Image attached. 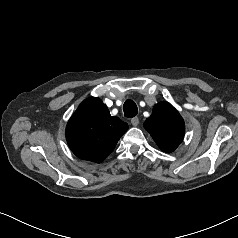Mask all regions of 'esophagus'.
Here are the masks:
<instances>
[{"instance_id":"1","label":"esophagus","mask_w":238,"mask_h":238,"mask_svg":"<svg viewBox=\"0 0 238 238\" xmlns=\"http://www.w3.org/2000/svg\"><path fill=\"white\" fill-rule=\"evenodd\" d=\"M131 124L136 127V126L139 124V119H138V117L132 118V119H131Z\"/></svg>"}]
</instances>
